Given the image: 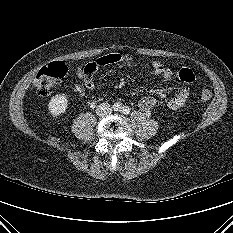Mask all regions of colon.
Returning <instances> with one entry per match:
<instances>
[{"label": "colon", "mask_w": 233, "mask_h": 233, "mask_svg": "<svg viewBox=\"0 0 233 233\" xmlns=\"http://www.w3.org/2000/svg\"><path fill=\"white\" fill-rule=\"evenodd\" d=\"M95 70L93 63L86 64L79 71L80 76L91 75ZM68 68L62 62H53L47 66L42 67L37 73L33 85L37 93L41 96H47L52 93L54 88L62 81V79L67 75ZM184 78L188 82H193L195 77L193 73H184ZM200 99L203 102H208L211 99V92L209 90H202L200 93Z\"/></svg>", "instance_id": "obj_1"}]
</instances>
